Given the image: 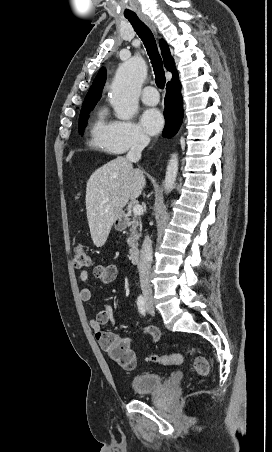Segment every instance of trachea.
<instances>
[{
    "mask_svg": "<svg viewBox=\"0 0 272 452\" xmlns=\"http://www.w3.org/2000/svg\"><path fill=\"white\" fill-rule=\"evenodd\" d=\"M128 21L133 26L138 36L143 41L148 55L151 59V63L155 73L156 84L159 88L163 89L165 86L166 78L163 70V63L161 56L158 52L157 44L151 30L136 16H127Z\"/></svg>",
    "mask_w": 272,
    "mask_h": 452,
    "instance_id": "trachea-1",
    "label": "trachea"
}]
</instances>
